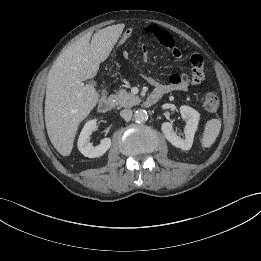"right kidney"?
<instances>
[{"mask_svg": "<svg viewBox=\"0 0 261 261\" xmlns=\"http://www.w3.org/2000/svg\"><path fill=\"white\" fill-rule=\"evenodd\" d=\"M96 120H90L84 125L79 138H78V149L85 156L89 158L100 157L106 153V151L111 147V139L104 138L101 140L100 144L93 146L89 142L92 131L96 129Z\"/></svg>", "mask_w": 261, "mask_h": 261, "instance_id": "right-kidney-1", "label": "right kidney"}]
</instances>
